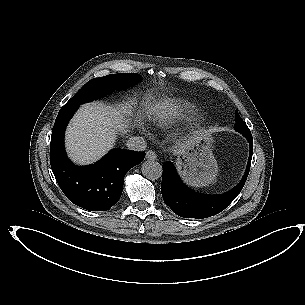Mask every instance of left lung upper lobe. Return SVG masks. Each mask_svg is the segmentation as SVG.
<instances>
[{
  "label": "left lung upper lobe",
  "mask_w": 305,
  "mask_h": 305,
  "mask_svg": "<svg viewBox=\"0 0 305 305\" xmlns=\"http://www.w3.org/2000/svg\"><path fill=\"white\" fill-rule=\"evenodd\" d=\"M235 120H236L235 130L240 132L241 134H243L246 137H250L251 140H253L248 126L244 123V121L241 119V117L238 114L236 115ZM250 154H251V150H250ZM247 175H248V168H247L244 178L235 188H233L232 190H230L229 192H227L225 194L211 196L209 199V202L212 203L213 205H222V204L229 203L231 201V198L234 195V193H236L238 190H240V188L245 183Z\"/></svg>",
  "instance_id": "1"
}]
</instances>
